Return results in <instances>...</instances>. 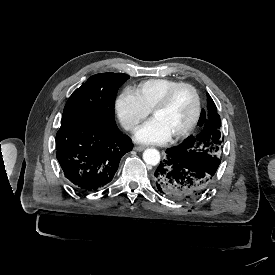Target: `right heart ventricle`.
<instances>
[{
  "mask_svg": "<svg viewBox=\"0 0 275 275\" xmlns=\"http://www.w3.org/2000/svg\"><path fill=\"white\" fill-rule=\"evenodd\" d=\"M178 83L168 78H152L140 82L134 92L143 105L151 111L155 104L159 101L165 91Z\"/></svg>",
  "mask_w": 275,
  "mask_h": 275,
  "instance_id": "e07e8e85",
  "label": "right heart ventricle"
}]
</instances>
